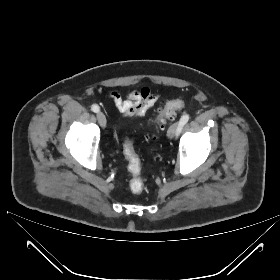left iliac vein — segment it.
<instances>
[{"mask_svg":"<svg viewBox=\"0 0 280 280\" xmlns=\"http://www.w3.org/2000/svg\"><path fill=\"white\" fill-rule=\"evenodd\" d=\"M179 128H180L179 123L177 122L173 123L167 131V137L173 138L174 136H176L178 134Z\"/></svg>","mask_w":280,"mask_h":280,"instance_id":"1","label":"left iliac vein"}]
</instances>
